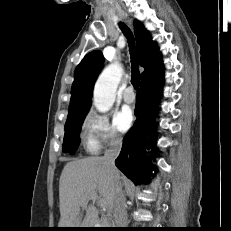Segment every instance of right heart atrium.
Here are the masks:
<instances>
[{"label": "right heart atrium", "mask_w": 231, "mask_h": 231, "mask_svg": "<svg viewBox=\"0 0 231 231\" xmlns=\"http://www.w3.org/2000/svg\"><path fill=\"white\" fill-rule=\"evenodd\" d=\"M83 132L92 152H99L107 146L117 145L122 137L108 114L90 110L83 120Z\"/></svg>", "instance_id": "d8ad5b80"}]
</instances>
